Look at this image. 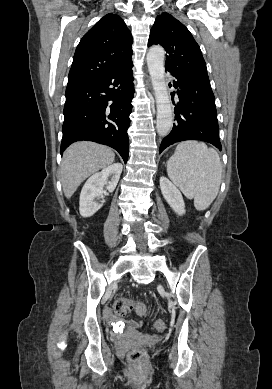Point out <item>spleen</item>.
Instances as JSON below:
<instances>
[{"label": "spleen", "instance_id": "spleen-1", "mask_svg": "<svg viewBox=\"0 0 272 389\" xmlns=\"http://www.w3.org/2000/svg\"><path fill=\"white\" fill-rule=\"evenodd\" d=\"M167 173L197 210H205L216 198L222 177L218 153L205 143L184 141L167 162Z\"/></svg>", "mask_w": 272, "mask_h": 389}]
</instances>
